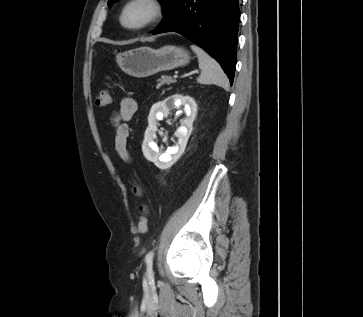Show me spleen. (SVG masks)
Segmentation results:
<instances>
[{"label": "spleen", "instance_id": "spleen-1", "mask_svg": "<svg viewBox=\"0 0 363 317\" xmlns=\"http://www.w3.org/2000/svg\"><path fill=\"white\" fill-rule=\"evenodd\" d=\"M191 49L196 53L199 68L201 69L197 82L201 84H216L228 90L229 80L220 64L200 47L191 45Z\"/></svg>", "mask_w": 363, "mask_h": 317}]
</instances>
